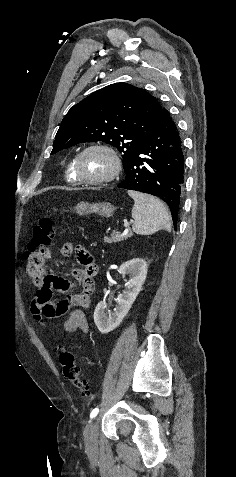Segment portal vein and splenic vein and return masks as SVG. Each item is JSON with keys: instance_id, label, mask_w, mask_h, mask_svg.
I'll use <instances>...</instances> for the list:
<instances>
[{"instance_id": "18ae733b", "label": "portal vein and splenic vein", "mask_w": 236, "mask_h": 477, "mask_svg": "<svg viewBox=\"0 0 236 477\" xmlns=\"http://www.w3.org/2000/svg\"><path fill=\"white\" fill-rule=\"evenodd\" d=\"M124 227H125V231H127V230H128V227H129V222H125V223H124Z\"/></svg>"}]
</instances>
